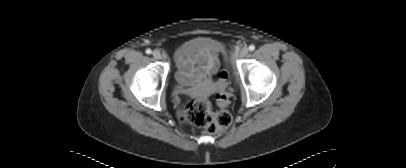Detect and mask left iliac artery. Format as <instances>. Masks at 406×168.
Segmentation results:
<instances>
[{
  "label": "left iliac artery",
  "mask_w": 406,
  "mask_h": 168,
  "mask_svg": "<svg viewBox=\"0 0 406 168\" xmlns=\"http://www.w3.org/2000/svg\"><path fill=\"white\" fill-rule=\"evenodd\" d=\"M249 50H250V51H254V50H255V46H254L253 44L250 45V46H249Z\"/></svg>",
  "instance_id": "obj_1"
}]
</instances>
